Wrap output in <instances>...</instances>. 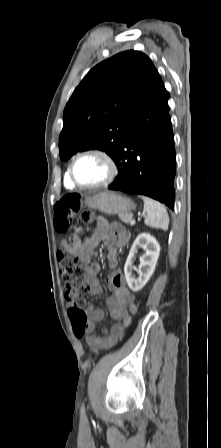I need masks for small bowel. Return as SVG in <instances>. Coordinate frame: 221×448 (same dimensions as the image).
<instances>
[{"mask_svg":"<svg viewBox=\"0 0 221 448\" xmlns=\"http://www.w3.org/2000/svg\"><path fill=\"white\" fill-rule=\"evenodd\" d=\"M129 239L128 233L117 224L109 223L101 218L97 220L92 235L86 241L81 242L78 237L74 236L70 242L65 240L61 242L63 249L68 253L78 254L86 258H88L89 252L102 242L108 250V257L114 268L113 273L107 279V285L112 290V295L107 299L106 305L110 319L117 321V323L112 328L103 329L101 334H97L95 323L104 319V311L92 305L84 310L87 315L86 343L92 349H106L114 346L122 336L125 327L130 323L132 314L136 311L134 297L125 286L121 272L115 268L116 251L124 246ZM99 269L98 262L89 261L86 267L85 282L92 295H98L102 292V287L97 278Z\"/></svg>","mask_w":221,"mask_h":448,"instance_id":"obj_1","label":"small bowel"}]
</instances>
